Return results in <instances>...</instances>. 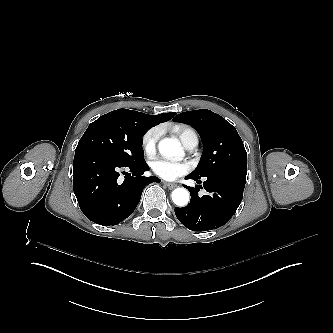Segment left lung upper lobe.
I'll return each mask as SVG.
<instances>
[{"instance_id": "left-lung-upper-lobe-1", "label": "left lung upper lobe", "mask_w": 333, "mask_h": 333, "mask_svg": "<svg viewBox=\"0 0 333 333\" xmlns=\"http://www.w3.org/2000/svg\"><path fill=\"white\" fill-rule=\"evenodd\" d=\"M190 124L203 142V154L197 168L190 174L197 179L238 169L247 171V153L236 129L223 117L207 109L188 111L173 118Z\"/></svg>"}]
</instances>
